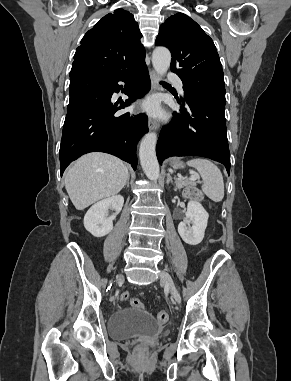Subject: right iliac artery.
<instances>
[{
	"label": "right iliac artery",
	"instance_id": "1",
	"mask_svg": "<svg viewBox=\"0 0 291 381\" xmlns=\"http://www.w3.org/2000/svg\"><path fill=\"white\" fill-rule=\"evenodd\" d=\"M111 285H112V283H110V286H109L108 288H110V287H111Z\"/></svg>",
	"mask_w": 291,
	"mask_h": 381
}]
</instances>
